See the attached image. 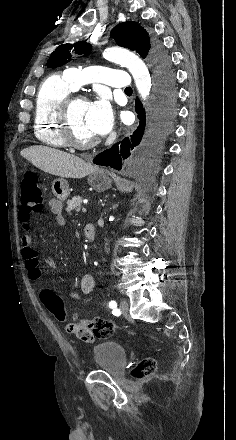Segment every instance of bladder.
Returning a JSON list of instances; mask_svg holds the SVG:
<instances>
[{
	"mask_svg": "<svg viewBox=\"0 0 236 440\" xmlns=\"http://www.w3.org/2000/svg\"><path fill=\"white\" fill-rule=\"evenodd\" d=\"M93 363L99 371L117 375L126 367L127 354L117 342L99 343L93 348Z\"/></svg>",
	"mask_w": 236,
	"mask_h": 440,
	"instance_id": "1",
	"label": "bladder"
}]
</instances>
